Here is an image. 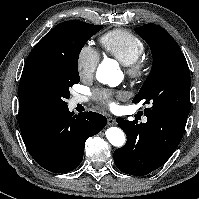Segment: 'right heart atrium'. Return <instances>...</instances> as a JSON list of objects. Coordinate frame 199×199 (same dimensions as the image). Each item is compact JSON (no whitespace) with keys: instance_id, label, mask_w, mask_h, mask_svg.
<instances>
[{"instance_id":"1","label":"right heart atrium","mask_w":199,"mask_h":199,"mask_svg":"<svg viewBox=\"0 0 199 199\" xmlns=\"http://www.w3.org/2000/svg\"><path fill=\"white\" fill-rule=\"evenodd\" d=\"M99 59V54L93 47L90 45L82 46L77 57V70L80 77L92 76L97 69Z\"/></svg>"}]
</instances>
